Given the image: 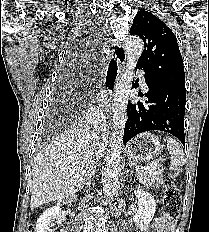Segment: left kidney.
Listing matches in <instances>:
<instances>
[{
    "instance_id": "obj_1",
    "label": "left kidney",
    "mask_w": 209,
    "mask_h": 232,
    "mask_svg": "<svg viewBox=\"0 0 209 232\" xmlns=\"http://www.w3.org/2000/svg\"><path fill=\"white\" fill-rule=\"evenodd\" d=\"M134 193L138 199V210L132 220L135 225L143 231L148 227L155 214L156 202L153 197L143 189L137 188Z\"/></svg>"
}]
</instances>
